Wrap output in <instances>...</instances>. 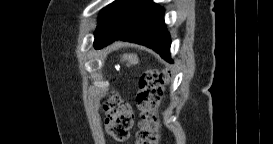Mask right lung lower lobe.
<instances>
[{
    "instance_id": "98d812e1",
    "label": "right lung lower lobe",
    "mask_w": 273,
    "mask_h": 144,
    "mask_svg": "<svg viewBox=\"0 0 273 144\" xmlns=\"http://www.w3.org/2000/svg\"><path fill=\"white\" fill-rule=\"evenodd\" d=\"M163 16L164 9L152 0H120L98 25L94 47L100 49L122 39L145 45L172 63L171 40Z\"/></svg>"
}]
</instances>
